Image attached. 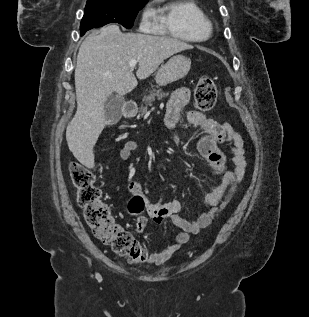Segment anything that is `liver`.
Returning <instances> with one entry per match:
<instances>
[{"label":"liver","mask_w":309,"mask_h":317,"mask_svg":"<svg viewBox=\"0 0 309 317\" xmlns=\"http://www.w3.org/2000/svg\"><path fill=\"white\" fill-rule=\"evenodd\" d=\"M193 47L179 39L140 33H122L115 24L92 33L82 42L75 68L77 111L66 129L74 157L94 167L93 148L103 131L105 103L116 92L123 96L138 84L129 62L136 60V76L143 80L170 56Z\"/></svg>","instance_id":"6515ba94"}]
</instances>
